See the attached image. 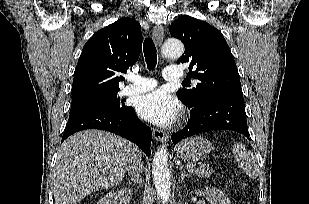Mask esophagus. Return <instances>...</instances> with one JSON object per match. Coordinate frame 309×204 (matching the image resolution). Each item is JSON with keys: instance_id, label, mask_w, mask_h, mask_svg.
<instances>
[{"instance_id": "esophagus-1", "label": "esophagus", "mask_w": 309, "mask_h": 204, "mask_svg": "<svg viewBox=\"0 0 309 204\" xmlns=\"http://www.w3.org/2000/svg\"><path fill=\"white\" fill-rule=\"evenodd\" d=\"M153 38L158 46H161L163 37H164V27L162 25H155L153 28ZM153 137L160 142L166 141L168 136L167 134L159 129L152 130Z\"/></svg>"}]
</instances>
